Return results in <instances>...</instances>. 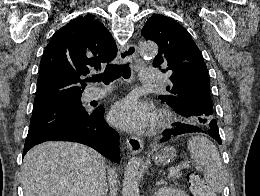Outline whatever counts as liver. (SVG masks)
Here are the masks:
<instances>
[{"label": "liver", "mask_w": 260, "mask_h": 196, "mask_svg": "<svg viewBox=\"0 0 260 196\" xmlns=\"http://www.w3.org/2000/svg\"><path fill=\"white\" fill-rule=\"evenodd\" d=\"M21 184L24 196H104L105 158L83 144L44 142L27 152Z\"/></svg>", "instance_id": "obj_1"}]
</instances>
